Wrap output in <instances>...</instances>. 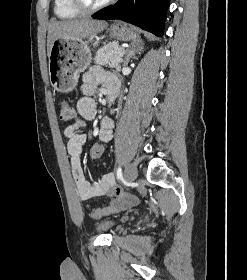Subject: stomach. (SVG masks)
I'll list each match as a JSON object with an SVG mask.
<instances>
[{"label":"stomach","instance_id":"0dacf381","mask_svg":"<svg viewBox=\"0 0 247 280\" xmlns=\"http://www.w3.org/2000/svg\"><path fill=\"white\" fill-rule=\"evenodd\" d=\"M108 31L112 38L121 41L139 38L134 29L121 22L110 25ZM92 55L88 41L82 39H56L49 56V78L51 85L60 92L73 90L79 74L91 63Z\"/></svg>","mask_w":247,"mask_h":280}]
</instances>
